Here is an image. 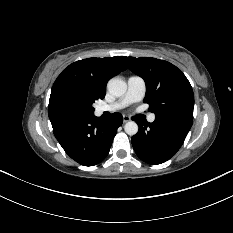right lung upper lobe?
<instances>
[{"label":"right lung upper lobe","instance_id":"cb5924a9","mask_svg":"<svg viewBox=\"0 0 233 233\" xmlns=\"http://www.w3.org/2000/svg\"><path fill=\"white\" fill-rule=\"evenodd\" d=\"M122 59V56L88 58L72 63L57 77L51 90L50 99L63 89L82 92L94 100L103 99L107 81L126 70ZM51 116L53 115H49V117Z\"/></svg>","mask_w":233,"mask_h":233}]
</instances>
